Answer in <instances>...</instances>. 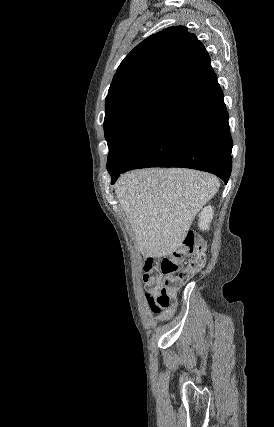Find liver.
Returning <instances> with one entry per match:
<instances>
[{"label": "liver", "instance_id": "6515ba94", "mask_svg": "<svg viewBox=\"0 0 274 427\" xmlns=\"http://www.w3.org/2000/svg\"><path fill=\"white\" fill-rule=\"evenodd\" d=\"M115 194L145 257L176 251L201 208L215 196L218 178L183 168H150L121 174Z\"/></svg>", "mask_w": 274, "mask_h": 427}]
</instances>
